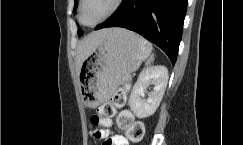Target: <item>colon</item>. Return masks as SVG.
Masks as SVG:
<instances>
[{"instance_id": "colon-1", "label": "colon", "mask_w": 243, "mask_h": 145, "mask_svg": "<svg viewBox=\"0 0 243 145\" xmlns=\"http://www.w3.org/2000/svg\"><path fill=\"white\" fill-rule=\"evenodd\" d=\"M126 91L127 88L116 91L109 101L98 107L97 113L90 118L93 135L99 131V126H109L111 124L110 118L115 115L116 109L125 104ZM117 125L125 132L130 141H140L144 136L143 124L136 121L131 112L127 110H123L118 114ZM103 145H109V142L105 141Z\"/></svg>"}]
</instances>
